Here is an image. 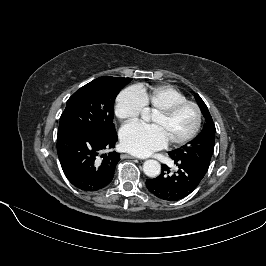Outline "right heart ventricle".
<instances>
[{"instance_id": "e07e8e85", "label": "right heart ventricle", "mask_w": 266, "mask_h": 266, "mask_svg": "<svg viewBox=\"0 0 266 266\" xmlns=\"http://www.w3.org/2000/svg\"><path fill=\"white\" fill-rule=\"evenodd\" d=\"M139 90L143 95L145 106L154 112L172 104L187 101V97L180 90L170 85L141 87Z\"/></svg>"}]
</instances>
